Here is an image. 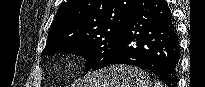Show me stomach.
Instances as JSON below:
<instances>
[{"label":"stomach","instance_id":"1","mask_svg":"<svg viewBox=\"0 0 205 87\" xmlns=\"http://www.w3.org/2000/svg\"><path fill=\"white\" fill-rule=\"evenodd\" d=\"M148 74L132 66H110L88 75L80 87H150Z\"/></svg>","mask_w":205,"mask_h":87}]
</instances>
